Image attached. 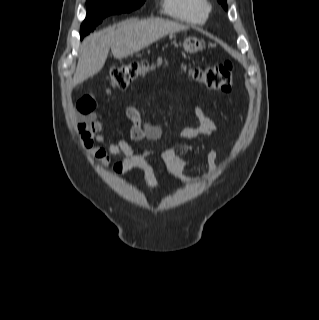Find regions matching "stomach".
I'll use <instances>...</instances> for the list:
<instances>
[{
  "label": "stomach",
  "instance_id": "stomach-1",
  "mask_svg": "<svg viewBox=\"0 0 319 320\" xmlns=\"http://www.w3.org/2000/svg\"><path fill=\"white\" fill-rule=\"evenodd\" d=\"M183 48L187 53H197L203 49V42L195 37H188L183 42Z\"/></svg>",
  "mask_w": 319,
  "mask_h": 320
}]
</instances>
